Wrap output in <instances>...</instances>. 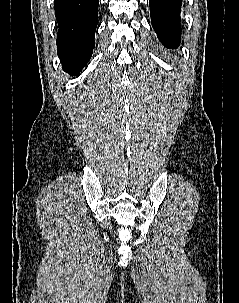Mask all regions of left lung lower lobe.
Segmentation results:
<instances>
[{"mask_svg": "<svg viewBox=\"0 0 239 303\" xmlns=\"http://www.w3.org/2000/svg\"><path fill=\"white\" fill-rule=\"evenodd\" d=\"M152 26L165 47L178 48L181 40L182 0H149Z\"/></svg>", "mask_w": 239, "mask_h": 303, "instance_id": "1", "label": "left lung lower lobe"}]
</instances>
